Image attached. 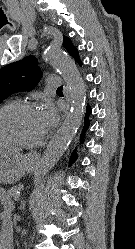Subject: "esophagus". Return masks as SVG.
Returning <instances> with one entry per match:
<instances>
[{"label":"esophagus","instance_id":"34e87169","mask_svg":"<svg viewBox=\"0 0 135 249\" xmlns=\"http://www.w3.org/2000/svg\"><path fill=\"white\" fill-rule=\"evenodd\" d=\"M64 92H65L66 100H67V103H68V108L67 109H69L70 97H69V90H68L67 86L64 87Z\"/></svg>","mask_w":135,"mask_h":249}]
</instances>
